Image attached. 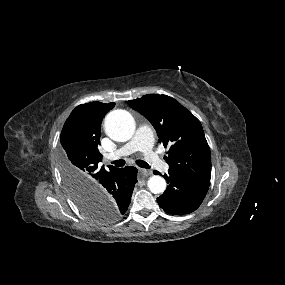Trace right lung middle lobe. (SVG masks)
I'll return each instance as SVG.
<instances>
[{
    "label": "right lung middle lobe",
    "instance_id": "1",
    "mask_svg": "<svg viewBox=\"0 0 285 285\" xmlns=\"http://www.w3.org/2000/svg\"><path fill=\"white\" fill-rule=\"evenodd\" d=\"M61 170L69 193L71 194L80 211L85 216L99 223H110L119 218L117 213L110 205L95 199L88 189L79 191L76 180L69 172V169L66 166H62V163Z\"/></svg>",
    "mask_w": 285,
    "mask_h": 285
}]
</instances>
